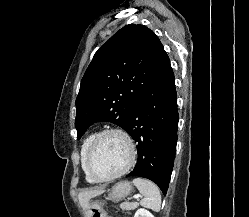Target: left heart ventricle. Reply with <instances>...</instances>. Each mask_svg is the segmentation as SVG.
I'll return each mask as SVG.
<instances>
[{
    "label": "left heart ventricle",
    "mask_w": 249,
    "mask_h": 217,
    "mask_svg": "<svg viewBox=\"0 0 249 217\" xmlns=\"http://www.w3.org/2000/svg\"><path fill=\"white\" fill-rule=\"evenodd\" d=\"M128 159L129 147L126 141L120 135L109 134L98 142L90 165L96 176L108 177L122 170Z\"/></svg>",
    "instance_id": "b2bd125f"
}]
</instances>
